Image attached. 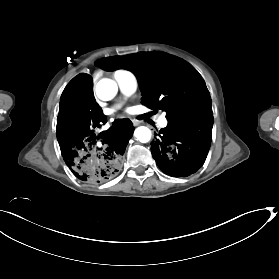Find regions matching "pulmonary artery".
Listing matches in <instances>:
<instances>
[{"label": "pulmonary artery", "mask_w": 279, "mask_h": 279, "mask_svg": "<svg viewBox=\"0 0 279 279\" xmlns=\"http://www.w3.org/2000/svg\"><path fill=\"white\" fill-rule=\"evenodd\" d=\"M113 79L124 97H129L136 91L137 80L134 75L118 70L113 73ZM160 125L161 123L158 122V126Z\"/></svg>", "instance_id": "obj_1"}]
</instances>
